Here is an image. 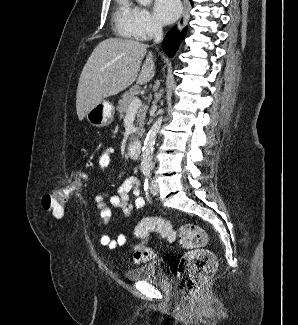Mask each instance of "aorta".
<instances>
[{
    "mask_svg": "<svg viewBox=\"0 0 298 325\" xmlns=\"http://www.w3.org/2000/svg\"><path fill=\"white\" fill-rule=\"evenodd\" d=\"M142 6H149L153 0H137ZM162 112H165L162 108ZM163 122V116L160 114L157 120H155L153 126H151L145 140L144 146L142 148V158H141V171L142 173H150L153 169V150L156 140V134Z\"/></svg>",
    "mask_w": 298,
    "mask_h": 325,
    "instance_id": "762f6f07",
    "label": "aorta"
}]
</instances>
